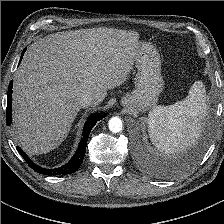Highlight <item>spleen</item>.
Returning <instances> with one entry per match:
<instances>
[{
	"label": "spleen",
	"instance_id": "spleen-1",
	"mask_svg": "<svg viewBox=\"0 0 224 224\" xmlns=\"http://www.w3.org/2000/svg\"><path fill=\"white\" fill-rule=\"evenodd\" d=\"M206 115L205 87L202 81H196L184 100L155 106L149 112V137L156 149L164 153L183 151L200 136Z\"/></svg>",
	"mask_w": 224,
	"mask_h": 224
}]
</instances>
